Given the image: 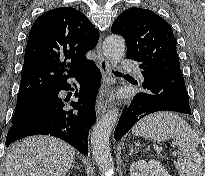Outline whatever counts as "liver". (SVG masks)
<instances>
[{"mask_svg": "<svg viewBox=\"0 0 205 176\" xmlns=\"http://www.w3.org/2000/svg\"><path fill=\"white\" fill-rule=\"evenodd\" d=\"M75 159V149L46 135L15 143L5 158V176H65Z\"/></svg>", "mask_w": 205, "mask_h": 176, "instance_id": "1", "label": "liver"}]
</instances>
